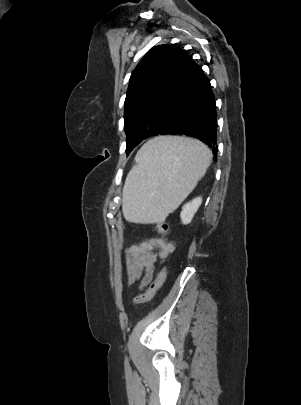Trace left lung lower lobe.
Segmentation results:
<instances>
[{"label":"left lung lower lobe","mask_w":301,"mask_h":405,"mask_svg":"<svg viewBox=\"0 0 301 405\" xmlns=\"http://www.w3.org/2000/svg\"><path fill=\"white\" fill-rule=\"evenodd\" d=\"M217 119L210 81L193 61L189 77L153 136L182 135L204 142L217 155ZM143 138H135L129 153ZM128 153V154H129Z\"/></svg>","instance_id":"1"}]
</instances>
